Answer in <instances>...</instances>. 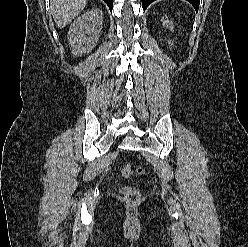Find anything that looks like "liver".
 I'll return each instance as SVG.
<instances>
[{"instance_id":"obj_1","label":"liver","mask_w":248,"mask_h":247,"mask_svg":"<svg viewBox=\"0 0 248 247\" xmlns=\"http://www.w3.org/2000/svg\"><path fill=\"white\" fill-rule=\"evenodd\" d=\"M87 0H51V12L56 25L64 28L86 6Z\"/></svg>"}]
</instances>
